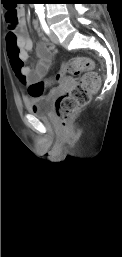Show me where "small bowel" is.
I'll return each mask as SVG.
<instances>
[{"mask_svg":"<svg viewBox=\"0 0 122 257\" xmlns=\"http://www.w3.org/2000/svg\"><path fill=\"white\" fill-rule=\"evenodd\" d=\"M18 14L17 24L14 27L9 26L6 35L7 60L9 64H12L11 73L16 74L19 82L28 85V83L43 79L50 71L53 65V47L40 43L37 46V54L40 58L38 64L36 67H26L29 53L33 49V42L28 35L24 9L20 8ZM33 26L39 30L37 20L33 22Z\"/></svg>","mask_w":122,"mask_h":257,"instance_id":"obj_1","label":"small bowel"}]
</instances>
